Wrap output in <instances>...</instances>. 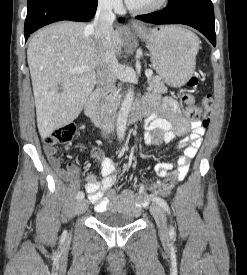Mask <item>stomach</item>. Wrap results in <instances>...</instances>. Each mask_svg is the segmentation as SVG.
Listing matches in <instances>:
<instances>
[{
	"mask_svg": "<svg viewBox=\"0 0 247 275\" xmlns=\"http://www.w3.org/2000/svg\"><path fill=\"white\" fill-rule=\"evenodd\" d=\"M150 51L152 67L171 87L184 85L196 65V36L179 26L135 29ZM198 39V38H197Z\"/></svg>",
	"mask_w": 247,
	"mask_h": 275,
	"instance_id": "0dacf381",
	"label": "stomach"
}]
</instances>
